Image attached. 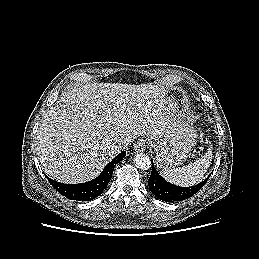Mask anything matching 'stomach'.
<instances>
[{
  "label": "stomach",
  "instance_id": "1",
  "mask_svg": "<svg viewBox=\"0 0 259 259\" xmlns=\"http://www.w3.org/2000/svg\"><path fill=\"white\" fill-rule=\"evenodd\" d=\"M170 115L171 123L167 126L163 138L153 144L156 165L162 169L181 165L190 155L197 139L196 131L184 120L174 102Z\"/></svg>",
  "mask_w": 259,
  "mask_h": 259
}]
</instances>
